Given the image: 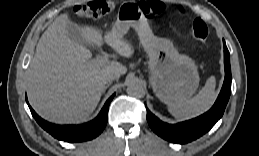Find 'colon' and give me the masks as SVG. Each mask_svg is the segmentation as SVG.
I'll return each instance as SVG.
<instances>
[{
    "mask_svg": "<svg viewBox=\"0 0 259 156\" xmlns=\"http://www.w3.org/2000/svg\"><path fill=\"white\" fill-rule=\"evenodd\" d=\"M141 8L149 19H154L162 14L164 6L156 0H146L141 3ZM114 10L113 2L109 0H95L74 8L77 16L82 18L97 19L109 15ZM191 32L201 46L208 44L209 30L206 23L201 19L194 20Z\"/></svg>",
    "mask_w": 259,
    "mask_h": 156,
    "instance_id": "1",
    "label": "colon"
}]
</instances>
